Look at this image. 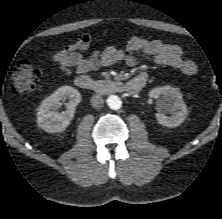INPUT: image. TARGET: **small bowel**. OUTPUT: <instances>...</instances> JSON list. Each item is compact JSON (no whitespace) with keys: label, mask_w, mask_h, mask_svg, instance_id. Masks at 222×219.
<instances>
[{"label":"small bowel","mask_w":222,"mask_h":219,"mask_svg":"<svg viewBox=\"0 0 222 219\" xmlns=\"http://www.w3.org/2000/svg\"><path fill=\"white\" fill-rule=\"evenodd\" d=\"M92 40L91 34H83L74 43L54 52L51 57L53 64L63 73L83 75L118 62L137 67L141 64V56H146L158 65L172 67L185 75L191 76L197 72L195 62L187 58L179 46L163 40L134 36L128 41L126 49L108 46L85 57L83 52L90 48ZM131 82L144 85L146 77L138 74Z\"/></svg>","instance_id":"c3829d8e"}]
</instances>
